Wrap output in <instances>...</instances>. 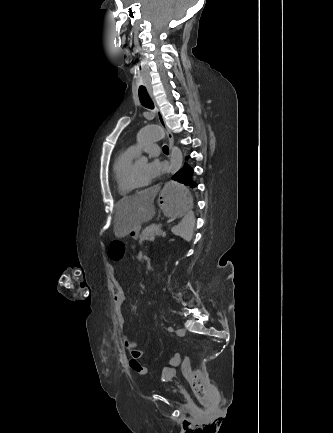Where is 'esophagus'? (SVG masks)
Here are the masks:
<instances>
[{"label": "esophagus", "mask_w": 333, "mask_h": 433, "mask_svg": "<svg viewBox=\"0 0 333 433\" xmlns=\"http://www.w3.org/2000/svg\"><path fill=\"white\" fill-rule=\"evenodd\" d=\"M147 91H148V94H149L151 100L155 104L158 122L167 136V139L169 141V150H171L172 146H173V134L171 133L169 128L166 126L165 118H164L161 110L156 105V101H155V97H154V94L152 92V89L148 88Z\"/></svg>", "instance_id": "34e87169"}]
</instances>
